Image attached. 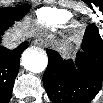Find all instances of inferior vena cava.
<instances>
[{
  "instance_id": "obj_1",
  "label": "inferior vena cava",
  "mask_w": 103,
  "mask_h": 103,
  "mask_svg": "<svg viewBox=\"0 0 103 103\" xmlns=\"http://www.w3.org/2000/svg\"><path fill=\"white\" fill-rule=\"evenodd\" d=\"M18 44L19 43L17 41L12 40V41L6 42L5 47H7L8 49H14L17 47Z\"/></svg>"
}]
</instances>
